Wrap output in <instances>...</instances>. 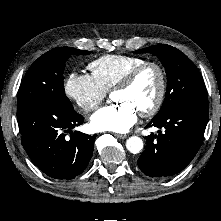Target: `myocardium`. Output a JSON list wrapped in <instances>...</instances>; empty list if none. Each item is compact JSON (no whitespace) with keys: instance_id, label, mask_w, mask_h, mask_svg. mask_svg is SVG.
Here are the masks:
<instances>
[{"instance_id":"obj_1","label":"myocardium","mask_w":221,"mask_h":221,"mask_svg":"<svg viewBox=\"0 0 221 221\" xmlns=\"http://www.w3.org/2000/svg\"><path fill=\"white\" fill-rule=\"evenodd\" d=\"M147 68H154L159 75V88L154 103L147 109L140 111L141 117H150L155 115L163 105L166 89H167V77L164 68L157 62L145 61L132 69L116 86L115 90H123L131 87L137 80L139 75Z\"/></svg>"}]
</instances>
